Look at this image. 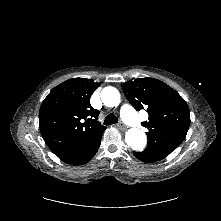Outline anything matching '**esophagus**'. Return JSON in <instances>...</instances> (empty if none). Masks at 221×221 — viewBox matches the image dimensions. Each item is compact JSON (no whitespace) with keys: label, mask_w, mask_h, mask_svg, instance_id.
Listing matches in <instances>:
<instances>
[{"label":"esophagus","mask_w":221,"mask_h":221,"mask_svg":"<svg viewBox=\"0 0 221 221\" xmlns=\"http://www.w3.org/2000/svg\"><path fill=\"white\" fill-rule=\"evenodd\" d=\"M117 126L120 130H123V131L127 129V127L122 122L119 123Z\"/></svg>","instance_id":"esophagus-1"}]
</instances>
